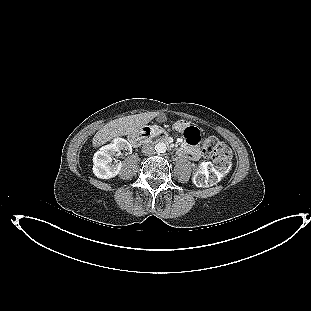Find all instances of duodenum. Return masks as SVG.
<instances>
[{
  "label": "duodenum",
  "mask_w": 311,
  "mask_h": 311,
  "mask_svg": "<svg viewBox=\"0 0 311 311\" xmlns=\"http://www.w3.org/2000/svg\"><path fill=\"white\" fill-rule=\"evenodd\" d=\"M152 138H156L160 141H164L165 143H170L164 131L157 128L145 127L140 134H136L131 138V144L133 146H140L144 142L149 141Z\"/></svg>",
  "instance_id": "410a0bca"
}]
</instances>
